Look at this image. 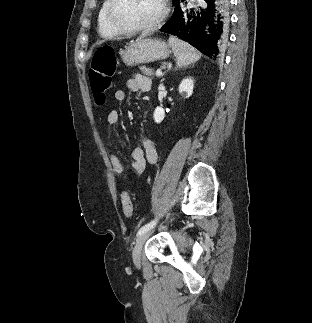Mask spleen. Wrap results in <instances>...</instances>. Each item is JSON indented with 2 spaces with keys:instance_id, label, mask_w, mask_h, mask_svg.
<instances>
[{
  "instance_id": "spleen-1",
  "label": "spleen",
  "mask_w": 312,
  "mask_h": 323,
  "mask_svg": "<svg viewBox=\"0 0 312 323\" xmlns=\"http://www.w3.org/2000/svg\"><path fill=\"white\" fill-rule=\"evenodd\" d=\"M169 46L173 50L174 56H176V64L178 68L182 66H189V64H195L200 58V52H197L195 48H192L188 42H183L175 36H169Z\"/></svg>"
}]
</instances>
